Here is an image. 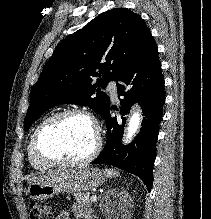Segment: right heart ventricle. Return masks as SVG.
I'll list each match as a JSON object with an SVG mask.
<instances>
[{"label":"right heart ventricle","mask_w":211,"mask_h":219,"mask_svg":"<svg viewBox=\"0 0 211 219\" xmlns=\"http://www.w3.org/2000/svg\"><path fill=\"white\" fill-rule=\"evenodd\" d=\"M36 128H35V130H36ZM35 130H34V132H35ZM34 132H33V134H34ZM33 134H32V137H33ZM32 137H31V139H30V141L28 143V147H27L28 161H29L30 165L34 169L39 170V171H45V170H47L49 168V166H46L45 164H43L40 161H38L35 158V156L33 155L32 151H31V140H32Z\"/></svg>","instance_id":"e07e8e85"}]
</instances>
